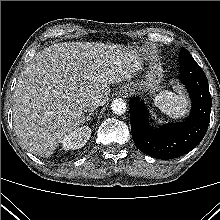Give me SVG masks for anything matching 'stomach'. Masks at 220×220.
Wrapping results in <instances>:
<instances>
[{
    "label": "stomach",
    "mask_w": 220,
    "mask_h": 220,
    "mask_svg": "<svg viewBox=\"0 0 220 220\" xmlns=\"http://www.w3.org/2000/svg\"><path fill=\"white\" fill-rule=\"evenodd\" d=\"M161 77L162 75L160 71H158L155 67H150L146 71L144 80L142 79L141 81L137 82L136 87H143L149 93H155L160 88ZM131 84L133 83H130V85ZM122 88H126V85H124Z\"/></svg>",
    "instance_id": "0dacf381"
}]
</instances>
